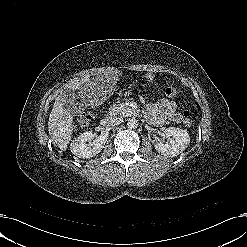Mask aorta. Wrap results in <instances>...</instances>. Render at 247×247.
<instances>
[{
	"instance_id": "aorta-1",
	"label": "aorta",
	"mask_w": 247,
	"mask_h": 247,
	"mask_svg": "<svg viewBox=\"0 0 247 247\" xmlns=\"http://www.w3.org/2000/svg\"><path fill=\"white\" fill-rule=\"evenodd\" d=\"M139 125V122L136 118H129L127 121V126L131 129L137 128Z\"/></svg>"
}]
</instances>
